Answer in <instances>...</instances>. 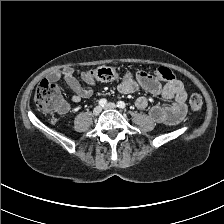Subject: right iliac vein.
Here are the masks:
<instances>
[{
	"mask_svg": "<svg viewBox=\"0 0 224 224\" xmlns=\"http://www.w3.org/2000/svg\"><path fill=\"white\" fill-rule=\"evenodd\" d=\"M102 111V108L101 106H96L94 109H93V115L97 116L101 113Z\"/></svg>",
	"mask_w": 224,
	"mask_h": 224,
	"instance_id": "right-iliac-vein-1",
	"label": "right iliac vein"
}]
</instances>
